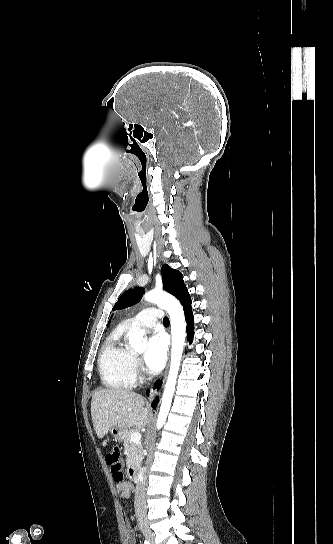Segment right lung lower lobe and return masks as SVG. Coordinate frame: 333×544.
<instances>
[{
    "instance_id": "98d812e1",
    "label": "right lung lower lobe",
    "mask_w": 333,
    "mask_h": 544,
    "mask_svg": "<svg viewBox=\"0 0 333 544\" xmlns=\"http://www.w3.org/2000/svg\"><path fill=\"white\" fill-rule=\"evenodd\" d=\"M147 394H149V392H147ZM158 401H159L158 398H156V399L153 401L152 407H153L154 409L156 408V405H157Z\"/></svg>"
}]
</instances>
